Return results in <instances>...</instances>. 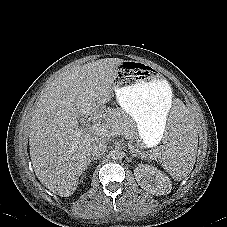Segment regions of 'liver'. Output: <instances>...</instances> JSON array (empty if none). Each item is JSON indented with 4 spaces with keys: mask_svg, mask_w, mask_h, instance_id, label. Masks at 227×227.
I'll list each match as a JSON object with an SVG mask.
<instances>
[{
    "mask_svg": "<svg viewBox=\"0 0 227 227\" xmlns=\"http://www.w3.org/2000/svg\"><path fill=\"white\" fill-rule=\"evenodd\" d=\"M105 58L72 66L55 78L39 96L30 123V157L38 180L61 197L71 196L90 160V146L99 139L78 130L88 117L113 96V65Z\"/></svg>",
    "mask_w": 227,
    "mask_h": 227,
    "instance_id": "6515ba94",
    "label": "liver"
}]
</instances>
